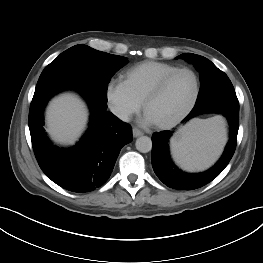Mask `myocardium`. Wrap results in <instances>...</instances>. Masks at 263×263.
<instances>
[{
	"label": "myocardium",
	"mask_w": 263,
	"mask_h": 263,
	"mask_svg": "<svg viewBox=\"0 0 263 263\" xmlns=\"http://www.w3.org/2000/svg\"><path fill=\"white\" fill-rule=\"evenodd\" d=\"M182 72H189L193 75L194 80H195V91L193 94V97L189 104L186 106V108L176 117L173 119L166 121V122H161V123H154L157 128L160 129H169L180 123L195 107L200 91H201V82L199 75L197 72L191 68L188 67H183V68H178L167 75H165L155 86L154 88L147 94L143 101V110L146 112L149 104L154 101L165 89L167 84L170 82L172 78H174L176 75L182 73Z\"/></svg>",
	"instance_id": "1"
}]
</instances>
